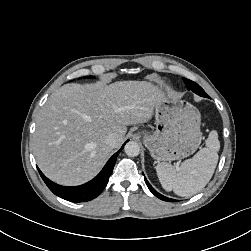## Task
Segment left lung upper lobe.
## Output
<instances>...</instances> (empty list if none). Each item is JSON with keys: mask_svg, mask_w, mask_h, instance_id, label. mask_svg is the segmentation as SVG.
<instances>
[{"mask_svg": "<svg viewBox=\"0 0 251 251\" xmlns=\"http://www.w3.org/2000/svg\"><path fill=\"white\" fill-rule=\"evenodd\" d=\"M183 80H184V83L186 84V87L188 90L193 91L194 93L198 94L199 96L209 98L208 94L197 83H195L189 79H186V78H183Z\"/></svg>", "mask_w": 251, "mask_h": 251, "instance_id": "obj_1", "label": "left lung upper lobe"}]
</instances>
